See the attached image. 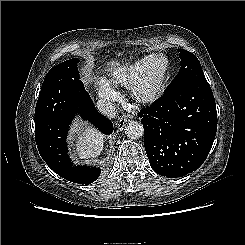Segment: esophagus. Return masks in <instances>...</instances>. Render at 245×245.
Instances as JSON below:
<instances>
[{"mask_svg":"<svg viewBox=\"0 0 245 245\" xmlns=\"http://www.w3.org/2000/svg\"><path fill=\"white\" fill-rule=\"evenodd\" d=\"M131 118H132L131 116H125V117L120 118V119L117 121V123H116V125H117V131H118V132H119V131H122V130H123V127L125 126V124H126L128 121H130Z\"/></svg>","mask_w":245,"mask_h":245,"instance_id":"1","label":"esophagus"}]
</instances>
